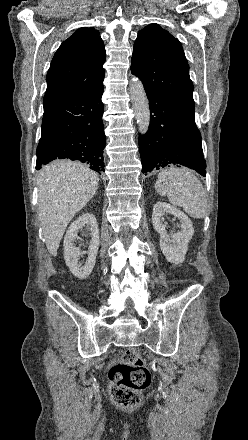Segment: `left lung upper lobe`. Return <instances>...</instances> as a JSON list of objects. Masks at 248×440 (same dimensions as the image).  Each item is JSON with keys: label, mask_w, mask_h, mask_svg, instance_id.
Masks as SVG:
<instances>
[{"label": "left lung upper lobe", "mask_w": 248, "mask_h": 440, "mask_svg": "<svg viewBox=\"0 0 248 440\" xmlns=\"http://www.w3.org/2000/svg\"><path fill=\"white\" fill-rule=\"evenodd\" d=\"M131 71L143 82L145 90L159 93L194 117L193 84L182 45L158 24L138 32Z\"/></svg>", "instance_id": "1"}]
</instances>
